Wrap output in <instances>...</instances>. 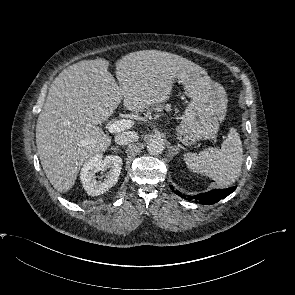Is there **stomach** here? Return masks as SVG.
<instances>
[{
	"label": "stomach",
	"instance_id": "obj_1",
	"mask_svg": "<svg viewBox=\"0 0 295 295\" xmlns=\"http://www.w3.org/2000/svg\"><path fill=\"white\" fill-rule=\"evenodd\" d=\"M182 83L191 101L176 128L178 140L190 146L200 140L214 138L226 114L227 94L224 88L201 73L190 74Z\"/></svg>",
	"mask_w": 295,
	"mask_h": 295
}]
</instances>
